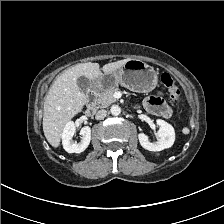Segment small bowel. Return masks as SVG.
I'll list each match as a JSON object with an SVG mask.
<instances>
[{
    "instance_id": "c3829d8e",
    "label": "small bowel",
    "mask_w": 224,
    "mask_h": 224,
    "mask_svg": "<svg viewBox=\"0 0 224 224\" xmlns=\"http://www.w3.org/2000/svg\"><path fill=\"white\" fill-rule=\"evenodd\" d=\"M145 108L156 114L163 117H169L171 115L170 108L164 103L161 97L152 96L144 101Z\"/></svg>"
}]
</instances>
